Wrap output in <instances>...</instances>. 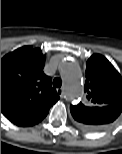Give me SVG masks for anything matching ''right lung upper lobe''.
Here are the masks:
<instances>
[{"mask_svg":"<svg viewBox=\"0 0 122 154\" xmlns=\"http://www.w3.org/2000/svg\"><path fill=\"white\" fill-rule=\"evenodd\" d=\"M44 64L41 50L30 45L1 59V111L18 126L39 123L59 99Z\"/></svg>","mask_w":122,"mask_h":154,"instance_id":"obj_1","label":"right lung upper lobe"}]
</instances>
